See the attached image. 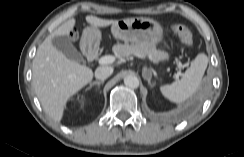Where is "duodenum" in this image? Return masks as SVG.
Returning <instances> with one entry per match:
<instances>
[{
  "mask_svg": "<svg viewBox=\"0 0 244 157\" xmlns=\"http://www.w3.org/2000/svg\"><path fill=\"white\" fill-rule=\"evenodd\" d=\"M86 52H87V55H88L90 60H94L95 59V57H96V52L95 51H93L90 48H86Z\"/></svg>",
  "mask_w": 244,
  "mask_h": 157,
  "instance_id": "obj_1",
  "label": "duodenum"
}]
</instances>
